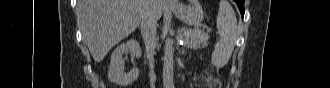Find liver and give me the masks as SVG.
<instances>
[{
	"label": "liver",
	"mask_w": 330,
	"mask_h": 88,
	"mask_svg": "<svg viewBox=\"0 0 330 88\" xmlns=\"http://www.w3.org/2000/svg\"><path fill=\"white\" fill-rule=\"evenodd\" d=\"M163 6V0L153 4L157 19ZM147 7L148 0H79L76 10L82 38L94 61H102L113 46L139 26Z\"/></svg>",
	"instance_id": "6515ba94"
}]
</instances>
